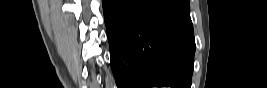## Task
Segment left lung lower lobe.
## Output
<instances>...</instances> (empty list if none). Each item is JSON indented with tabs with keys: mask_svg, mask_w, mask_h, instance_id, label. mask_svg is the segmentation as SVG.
Masks as SVG:
<instances>
[{
	"mask_svg": "<svg viewBox=\"0 0 267 88\" xmlns=\"http://www.w3.org/2000/svg\"><path fill=\"white\" fill-rule=\"evenodd\" d=\"M118 88H190L195 52L188 0H102Z\"/></svg>",
	"mask_w": 267,
	"mask_h": 88,
	"instance_id": "1",
	"label": "left lung lower lobe"
}]
</instances>
